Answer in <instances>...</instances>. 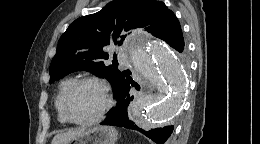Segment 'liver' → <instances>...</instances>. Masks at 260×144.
Here are the masks:
<instances>
[{
	"mask_svg": "<svg viewBox=\"0 0 260 144\" xmlns=\"http://www.w3.org/2000/svg\"><path fill=\"white\" fill-rule=\"evenodd\" d=\"M84 130V128H77L64 133H58L52 139L51 144H68L74 137L83 133Z\"/></svg>",
	"mask_w": 260,
	"mask_h": 144,
	"instance_id": "6515ba94",
	"label": "liver"
}]
</instances>
